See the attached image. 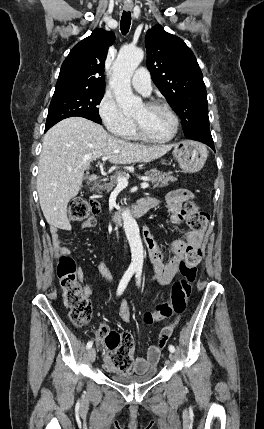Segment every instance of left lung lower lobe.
I'll list each match as a JSON object with an SVG mask.
<instances>
[{
	"label": "left lung lower lobe",
	"mask_w": 264,
	"mask_h": 429,
	"mask_svg": "<svg viewBox=\"0 0 264 429\" xmlns=\"http://www.w3.org/2000/svg\"><path fill=\"white\" fill-rule=\"evenodd\" d=\"M191 139L205 143L215 151L214 142L210 132L199 134L195 137H192Z\"/></svg>",
	"instance_id": "obj_1"
}]
</instances>
